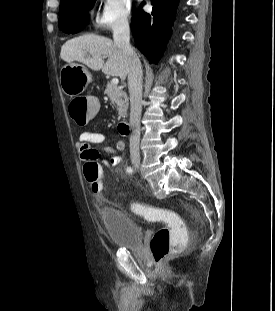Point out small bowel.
Here are the masks:
<instances>
[{
	"label": "small bowel",
	"mask_w": 275,
	"mask_h": 311,
	"mask_svg": "<svg viewBox=\"0 0 275 311\" xmlns=\"http://www.w3.org/2000/svg\"><path fill=\"white\" fill-rule=\"evenodd\" d=\"M105 139L106 136L100 132L83 131L79 134L76 142V148L79 152L80 159L85 162V165L92 160H99L102 151L111 155L109 159L102 161L105 165L114 167L122 163L120 153L124 150L125 143L121 139L116 141L115 147L103 145L102 151L101 149L90 148L91 144H103Z\"/></svg>",
	"instance_id": "obj_1"
}]
</instances>
